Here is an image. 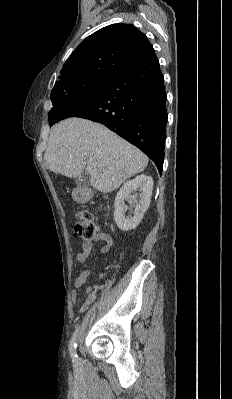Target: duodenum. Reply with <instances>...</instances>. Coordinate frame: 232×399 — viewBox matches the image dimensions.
I'll return each instance as SVG.
<instances>
[{
  "instance_id": "obj_1",
  "label": "duodenum",
  "mask_w": 232,
  "mask_h": 399,
  "mask_svg": "<svg viewBox=\"0 0 232 399\" xmlns=\"http://www.w3.org/2000/svg\"><path fill=\"white\" fill-rule=\"evenodd\" d=\"M91 197H92V192L90 190L83 189L80 192V198L84 202L89 201L91 199Z\"/></svg>"
}]
</instances>
